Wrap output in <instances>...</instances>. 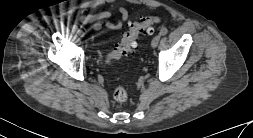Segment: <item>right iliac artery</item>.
Segmentation results:
<instances>
[{"mask_svg": "<svg viewBox=\"0 0 253 138\" xmlns=\"http://www.w3.org/2000/svg\"><path fill=\"white\" fill-rule=\"evenodd\" d=\"M79 29V26L77 25V24H74L73 26H72V28H71V31L73 32V33H76V31Z\"/></svg>", "mask_w": 253, "mask_h": 138, "instance_id": "1", "label": "right iliac artery"}]
</instances>
